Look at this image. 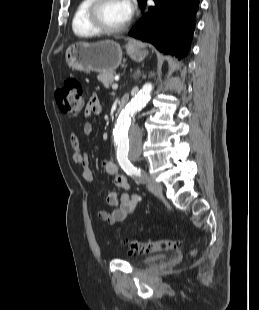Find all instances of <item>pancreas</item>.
I'll use <instances>...</instances> for the list:
<instances>
[{
	"label": "pancreas",
	"mask_w": 259,
	"mask_h": 310,
	"mask_svg": "<svg viewBox=\"0 0 259 310\" xmlns=\"http://www.w3.org/2000/svg\"><path fill=\"white\" fill-rule=\"evenodd\" d=\"M114 74L115 72H106L102 73L97 76L98 80L103 83L104 87L108 88L109 85L113 82L114 80Z\"/></svg>",
	"instance_id": "obj_1"
}]
</instances>
